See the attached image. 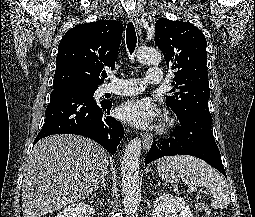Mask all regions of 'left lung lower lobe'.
<instances>
[{"instance_id": "left-lung-lower-lobe-1", "label": "left lung lower lobe", "mask_w": 255, "mask_h": 217, "mask_svg": "<svg viewBox=\"0 0 255 217\" xmlns=\"http://www.w3.org/2000/svg\"><path fill=\"white\" fill-rule=\"evenodd\" d=\"M179 121L181 126L175 129L168 139L152 145L145 164L164 156L185 154L204 160L226 177L220 152L211 131V115L197 112Z\"/></svg>"}]
</instances>
